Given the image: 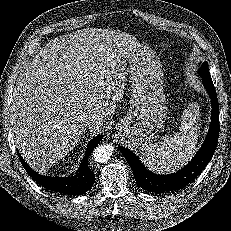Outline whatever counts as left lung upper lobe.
<instances>
[{"label":"left lung upper lobe","mask_w":231,"mask_h":231,"mask_svg":"<svg viewBox=\"0 0 231 231\" xmlns=\"http://www.w3.org/2000/svg\"><path fill=\"white\" fill-rule=\"evenodd\" d=\"M198 73H199L201 78L211 80V76H210V72H209V69H208V63L207 62L203 63L202 67L198 70Z\"/></svg>","instance_id":"obj_1"}]
</instances>
